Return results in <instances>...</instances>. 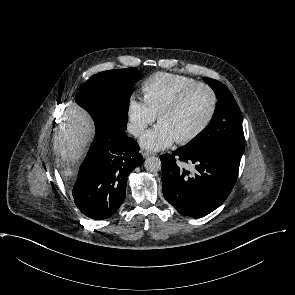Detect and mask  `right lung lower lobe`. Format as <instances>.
Listing matches in <instances>:
<instances>
[{"mask_svg": "<svg viewBox=\"0 0 295 295\" xmlns=\"http://www.w3.org/2000/svg\"><path fill=\"white\" fill-rule=\"evenodd\" d=\"M139 149L125 130L95 122L94 141L72 189L82 214L102 220L118 210L125 200L128 175L143 163Z\"/></svg>", "mask_w": 295, "mask_h": 295, "instance_id": "98d812e1", "label": "right lung lower lobe"}]
</instances>
